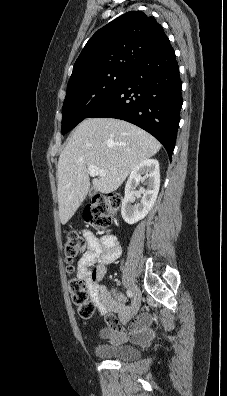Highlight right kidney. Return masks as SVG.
Masks as SVG:
<instances>
[{
  "mask_svg": "<svg viewBox=\"0 0 227 396\" xmlns=\"http://www.w3.org/2000/svg\"><path fill=\"white\" fill-rule=\"evenodd\" d=\"M146 189L143 188V194L140 203L134 204L135 196L139 193L135 191L139 182H144ZM160 187V170L159 163L155 159H147L140 162L131 171L125 187V197L122 202L121 214L124 221L128 224H134L142 220L153 207Z\"/></svg>",
  "mask_w": 227,
  "mask_h": 396,
  "instance_id": "right-kidney-1",
  "label": "right kidney"
}]
</instances>
